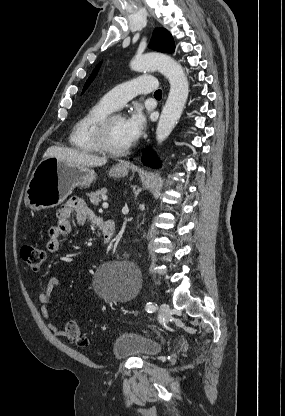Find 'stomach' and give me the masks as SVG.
Instances as JSON below:
<instances>
[{
	"label": "stomach",
	"instance_id": "0dacf381",
	"mask_svg": "<svg viewBox=\"0 0 285 416\" xmlns=\"http://www.w3.org/2000/svg\"><path fill=\"white\" fill-rule=\"evenodd\" d=\"M129 166L116 164L109 172L114 178L127 176ZM96 180L94 170L59 158H46L35 168L25 192V206L30 210L55 208L72 194L76 186H90Z\"/></svg>",
	"mask_w": 285,
	"mask_h": 416
}]
</instances>
